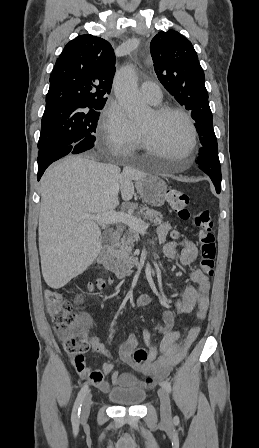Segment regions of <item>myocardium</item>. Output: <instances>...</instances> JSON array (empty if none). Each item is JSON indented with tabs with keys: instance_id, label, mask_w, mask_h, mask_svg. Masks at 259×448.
Returning a JSON list of instances; mask_svg holds the SVG:
<instances>
[{
	"instance_id": "myocardium-1",
	"label": "myocardium",
	"mask_w": 259,
	"mask_h": 448,
	"mask_svg": "<svg viewBox=\"0 0 259 448\" xmlns=\"http://www.w3.org/2000/svg\"><path fill=\"white\" fill-rule=\"evenodd\" d=\"M177 115L181 117L188 126L190 139L185 148V160L193 163L195 159V147L197 144V129L191 117L180 107L172 105H156L152 109L154 119L159 120L168 115ZM143 147L147 153L156 154L161 148L155 142L149 130L138 127ZM155 171V170H153Z\"/></svg>"
}]
</instances>
